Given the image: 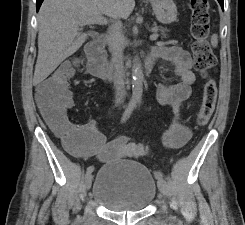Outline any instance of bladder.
Returning <instances> with one entry per match:
<instances>
[{
	"label": "bladder",
	"instance_id": "obj_1",
	"mask_svg": "<svg viewBox=\"0 0 245 225\" xmlns=\"http://www.w3.org/2000/svg\"><path fill=\"white\" fill-rule=\"evenodd\" d=\"M156 193L152 172L133 159H122L100 167L92 198L111 212H140L152 203Z\"/></svg>",
	"mask_w": 245,
	"mask_h": 225
}]
</instances>
